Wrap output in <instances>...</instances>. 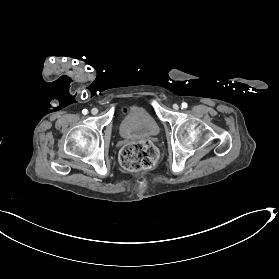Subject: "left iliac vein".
Segmentation results:
<instances>
[{
  "instance_id": "4c4485c4",
  "label": "left iliac vein",
  "mask_w": 279,
  "mask_h": 279,
  "mask_svg": "<svg viewBox=\"0 0 279 279\" xmlns=\"http://www.w3.org/2000/svg\"><path fill=\"white\" fill-rule=\"evenodd\" d=\"M173 108H174L175 110H178V109H179V106H178L177 104H174V105H173Z\"/></svg>"
}]
</instances>
